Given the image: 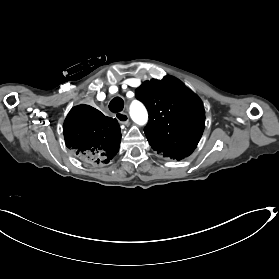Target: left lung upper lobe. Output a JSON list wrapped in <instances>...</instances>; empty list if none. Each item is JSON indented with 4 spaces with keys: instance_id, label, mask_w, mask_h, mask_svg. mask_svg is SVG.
I'll return each mask as SVG.
<instances>
[{
    "instance_id": "5c2ea615",
    "label": "left lung upper lobe",
    "mask_w": 279,
    "mask_h": 279,
    "mask_svg": "<svg viewBox=\"0 0 279 279\" xmlns=\"http://www.w3.org/2000/svg\"><path fill=\"white\" fill-rule=\"evenodd\" d=\"M136 98L149 113L144 132L152 148L176 160L189 156L204 130L201 101L171 76L144 82L136 89Z\"/></svg>"
}]
</instances>
